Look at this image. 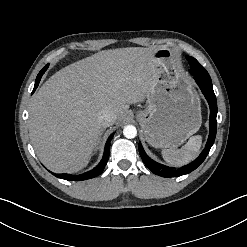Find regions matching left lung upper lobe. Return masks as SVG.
Instances as JSON below:
<instances>
[{
    "instance_id": "obj_1",
    "label": "left lung upper lobe",
    "mask_w": 247,
    "mask_h": 247,
    "mask_svg": "<svg viewBox=\"0 0 247 247\" xmlns=\"http://www.w3.org/2000/svg\"><path fill=\"white\" fill-rule=\"evenodd\" d=\"M186 58L189 61L190 66L191 67L193 66L196 69V72L200 76L205 77V78H210L206 69L203 66H201L200 63L195 58L190 57V56H187Z\"/></svg>"
}]
</instances>
